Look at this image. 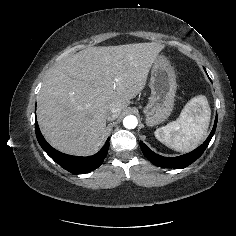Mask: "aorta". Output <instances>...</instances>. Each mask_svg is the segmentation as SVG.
Segmentation results:
<instances>
[{
  "label": "aorta",
  "instance_id": "762f6f07",
  "mask_svg": "<svg viewBox=\"0 0 236 236\" xmlns=\"http://www.w3.org/2000/svg\"><path fill=\"white\" fill-rule=\"evenodd\" d=\"M137 124H138V120L133 115H128L123 120V125L127 129H134L136 128Z\"/></svg>",
  "mask_w": 236,
  "mask_h": 236
}]
</instances>
